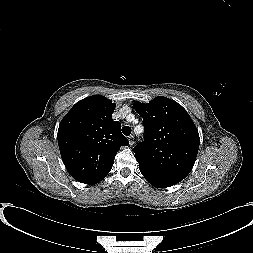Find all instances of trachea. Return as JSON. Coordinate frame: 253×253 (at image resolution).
Returning a JSON list of instances; mask_svg holds the SVG:
<instances>
[{
  "label": "trachea",
  "mask_w": 253,
  "mask_h": 253,
  "mask_svg": "<svg viewBox=\"0 0 253 253\" xmlns=\"http://www.w3.org/2000/svg\"><path fill=\"white\" fill-rule=\"evenodd\" d=\"M122 132L124 135L129 136L131 134V128L129 126H124Z\"/></svg>",
  "instance_id": "1"
}]
</instances>
